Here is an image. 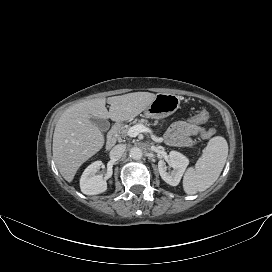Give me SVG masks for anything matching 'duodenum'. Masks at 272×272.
Wrapping results in <instances>:
<instances>
[{
    "instance_id": "duodenum-1",
    "label": "duodenum",
    "mask_w": 272,
    "mask_h": 272,
    "mask_svg": "<svg viewBox=\"0 0 272 272\" xmlns=\"http://www.w3.org/2000/svg\"><path fill=\"white\" fill-rule=\"evenodd\" d=\"M120 124L115 123L111 130L108 133L107 140H106V149L110 150L118 141V134L120 131Z\"/></svg>"
}]
</instances>
